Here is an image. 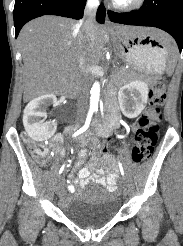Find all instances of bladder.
Masks as SVG:
<instances>
[{
	"mask_svg": "<svg viewBox=\"0 0 183 246\" xmlns=\"http://www.w3.org/2000/svg\"><path fill=\"white\" fill-rule=\"evenodd\" d=\"M119 210V201L100 184L92 185L85 194L63 201L62 212L81 228H96L109 223Z\"/></svg>",
	"mask_w": 183,
	"mask_h": 246,
	"instance_id": "obj_1",
	"label": "bladder"
}]
</instances>
